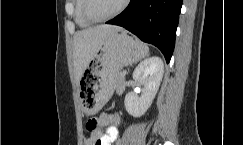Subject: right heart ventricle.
Returning <instances> with one entry per match:
<instances>
[{
    "label": "right heart ventricle",
    "mask_w": 243,
    "mask_h": 145,
    "mask_svg": "<svg viewBox=\"0 0 243 145\" xmlns=\"http://www.w3.org/2000/svg\"><path fill=\"white\" fill-rule=\"evenodd\" d=\"M83 4L84 0H75V21L79 27L87 28L91 26L92 23L86 20V18L83 15Z\"/></svg>",
    "instance_id": "right-heart-ventricle-1"
}]
</instances>
